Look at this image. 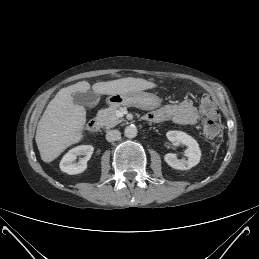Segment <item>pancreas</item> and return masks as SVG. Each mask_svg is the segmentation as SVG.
Listing matches in <instances>:
<instances>
[{
	"label": "pancreas",
	"instance_id": "1",
	"mask_svg": "<svg viewBox=\"0 0 259 259\" xmlns=\"http://www.w3.org/2000/svg\"><path fill=\"white\" fill-rule=\"evenodd\" d=\"M118 108L119 106H110L109 108L101 109L98 111L97 119L106 129L115 127L117 124L124 120L123 118H118L116 116V111Z\"/></svg>",
	"mask_w": 259,
	"mask_h": 259
}]
</instances>
